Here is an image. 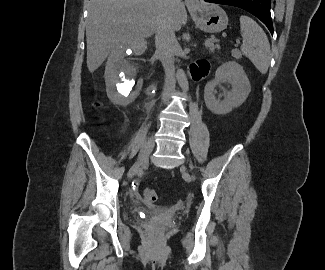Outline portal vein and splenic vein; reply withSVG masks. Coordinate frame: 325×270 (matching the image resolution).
Instances as JSON below:
<instances>
[{
  "instance_id": "portal-vein-and-splenic-vein-1",
  "label": "portal vein and splenic vein",
  "mask_w": 325,
  "mask_h": 270,
  "mask_svg": "<svg viewBox=\"0 0 325 270\" xmlns=\"http://www.w3.org/2000/svg\"><path fill=\"white\" fill-rule=\"evenodd\" d=\"M215 41H218V40H216V39H208V40L205 41V46L210 47L213 44V42H215ZM239 43H240V41L237 40L236 45L239 44Z\"/></svg>"
}]
</instances>
